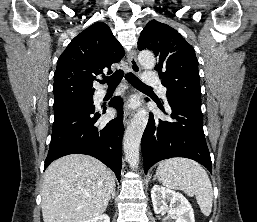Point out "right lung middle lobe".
Instances as JSON below:
<instances>
[{"instance_id": "1", "label": "right lung middle lobe", "mask_w": 257, "mask_h": 222, "mask_svg": "<svg viewBox=\"0 0 257 222\" xmlns=\"http://www.w3.org/2000/svg\"><path fill=\"white\" fill-rule=\"evenodd\" d=\"M95 110L93 96L74 98L54 103V119L73 112H92Z\"/></svg>"}]
</instances>
